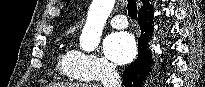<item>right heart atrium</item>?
Returning a JSON list of instances; mask_svg holds the SVG:
<instances>
[{"instance_id": "right-heart-atrium-1", "label": "right heart atrium", "mask_w": 205, "mask_h": 87, "mask_svg": "<svg viewBox=\"0 0 205 87\" xmlns=\"http://www.w3.org/2000/svg\"><path fill=\"white\" fill-rule=\"evenodd\" d=\"M75 65L78 73L87 80H97L115 73V67L94 53L76 51Z\"/></svg>"}]
</instances>
